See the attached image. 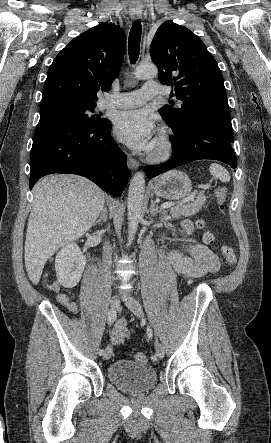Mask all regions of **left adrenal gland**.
Returning <instances> with one entry per match:
<instances>
[{
  "mask_svg": "<svg viewBox=\"0 0 271 443\" xmlns=\"http://www.w3.org/2000/svg\"><path fill=\"white\" fill-rule=\"evenodd\" d=\"M150 214H152V216H156V214H164L162 208H158L155 202H153L152 198H151Z\"/></svg>",
  "mask_w": 271,
  "mask_h": 443,
  "instance_id": "a2214340",
  "label": "left adrenal gland"
}]
</instances>
